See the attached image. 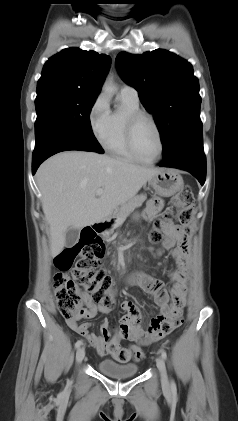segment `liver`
<instances>
[{
	"label": "liver",
	"instance_id": "liver-1",
	"mask_svg": "<svg viewBox=\"0 0 238 421\" xmlns=\"http://www.w3.org/2000/svg\"><path fill=\"white\" fill-rule=\"evenodd\" d=\"M161 170L84 151L61 152L46 160L36 179L50 226L52 256L63 250L68 228L80 229L107 219ZM98 189L103 190L99 197Z\"/></svg>",
	"mask_w": 238,
	"mask_h": 421
}]
</instances>
